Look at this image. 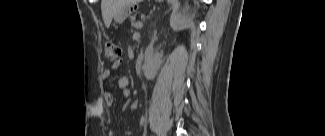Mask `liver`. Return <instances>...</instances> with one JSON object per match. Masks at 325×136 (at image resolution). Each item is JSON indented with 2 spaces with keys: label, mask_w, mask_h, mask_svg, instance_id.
I'll return each mask as SVG.
<instances>
[{
  "label": "liver",
  "mask_w": 325,
  "mask_h": 136,
  "mask_svg": "<svg viewBox=\"0 0 325 136\" xmlns=\"http://www.w3.org/2000/svg\"><path fill=\"white\" fill-rule=\"evenodd\" d=\"M139 0H102L101 11L104 24L107 28L110 27L114 14L120 11L124 6L135 4Z\"/></svg>",
  "instance_id": "liver-1"
}]
</instances>
